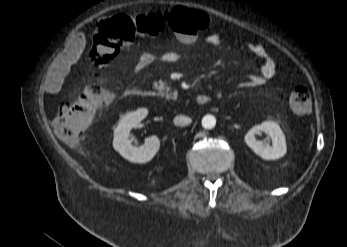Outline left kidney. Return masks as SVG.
Here are the masks:
<instances>
[{"label": "left kidney", "mask_w": 347, "mask_h": 247, "mask_svg": "<svg viewBox=\"0 0 347 247\" xmlns=\"http://www.w3.org/2000/svg\"><path fill=\"white\" fill-rule=\"evenodd\" d=\"M264 132L272 140V146L266 141L257 140L256 134ZM245 143L261 158L276 160L286 154L287 146L285 135L280 126L274 121H264L260 125L252 127L245 135Z\"/></svg>", "instance_id": "5707ae66"}]
</instances>
